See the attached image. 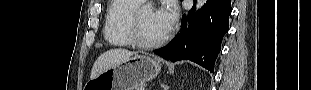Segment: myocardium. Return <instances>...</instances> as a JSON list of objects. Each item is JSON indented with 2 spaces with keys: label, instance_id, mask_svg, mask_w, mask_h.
<instances>
[{
  "label": "myocardium",
  "instance_id": "obj_1",
  "mask_svg": "<svg viewBox=\"0 0 311 90\" xmlns=\"http://www.w3.org/2000/svg\"><path fill=\"white\" fill-rule=\"evenodd\" d=\"M144 7H139L134 11L130 19V33L131 38L134 45L144 48V49H152L161 46L164 44L169 36L170 32H166L161 38L155 41H147L144 39L142 32H141V14L143 12Z\"/></svg>",
  "mask_w": 311,
  "mask_h": 90
}]
</instances>
